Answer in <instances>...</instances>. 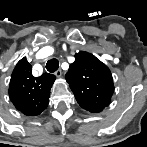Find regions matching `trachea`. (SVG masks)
Here are the masks:
<instances>
[{
	"label": "trachea",
	"mask_w": 147,
	"mask_h": 147,
	"mask_svg": "<svg viewBox=\"0 0 147 147\" xmlns=\"http://www.w3.org/2000/svg\"><path fill=\"white\" fill-rule=\"evenodd\" d=\"M59 68V61L55 58L50 59L47 63H46V69L48 72L53 73L55 72L57 69Z\"/></svg>",
	"instance_id": "trachea-1"
}]
</instances>
